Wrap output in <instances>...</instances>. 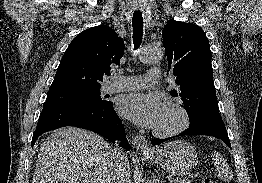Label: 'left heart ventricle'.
I'll list each match as a JSON object with an SVG mask.
<instances>
[{"label":"left heart ventricle","instance_id":"1","mask_svg":"<svg viewBox=\"0 0 262 183\" xmlns=\"http://www.w3.org/2000/svg\"><path fill=\"white\" fill-rule=\"evenodd\" d=\"M180 123V115L178 111L172 107L163 106L159 121L155 130L169 131L177 127Z\"/></svg>","mask_w":262,"mask_h":183}]
</instances>
